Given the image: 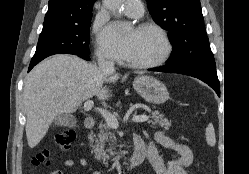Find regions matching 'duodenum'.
I'll list each match as a JSON object with an SVG mask.
<instances>
[{
    "instance_id": "410a0bca",
    "label": "duodenum",
    "mask_w": 249,
    "mask_h": 174,
    "mask_svg": "<svg viewBox=\"0 0 249 174\" xmlns=\"http://www.w3.org/2000/svg\"><path fill=\"white\" fill-rule=\"evenodd\" d=\"M86 129L91 130L95 127V120L91 117H87L84 121ZM146 157V147L135 142V148L130 162L127 164L128 169H134L138 167Z\"/></svg>"
}]
</instances>
